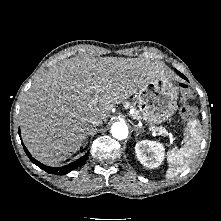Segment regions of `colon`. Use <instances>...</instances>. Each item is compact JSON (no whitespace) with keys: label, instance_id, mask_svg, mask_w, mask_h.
Returning a JSON list of instances; mask_svg holds the SVG:
<instances>
[{"label":"colon","instance_id":"1","mask_svg":"<svg viewBox=\"0 0 221 221\" xmlns=\"http://www.w3.org/2000/svg\"><path fill=\"white\" fill-rule=\"evenodd\" d=\"M181 96L183 100H188L191 97V93L188 89H183ZM195 114H196V111L192 107H183L181 110V115L184 119H190L194 117Z\"/></svg>","mask_w":221,"mask_h":221}]
</instances>
